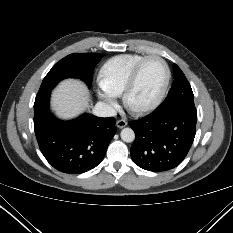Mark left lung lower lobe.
I'll return each mask as SVG.
<instances>
[{
  "instance_id": "obj_1",
  "label": "left lung lower lobe",
  "mask_w": 233,
  "mask_h": 233,
  "mask_svg": "<svg viewBox=\"0 0 233 233\" xmlns=\"http://www.w3.org/2000/svg\"><path fill=\"white\" fill-rule=\"evenodd\" d=\"M195 105H176L154 110L133 121L135 141L130 153L142 169L162 172L175 168L186 157L195 137Z\"/></svg>"
}]
</instances>
